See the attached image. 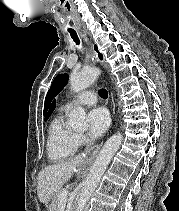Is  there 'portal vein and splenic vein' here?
<instances>
[{
	"label": "portal vein and splenic vein",
	"instance_id": "1",
	"mask_svg": "<svg viewBox=\"0 0 179 211\" xmlns=\"http://www.w3.org/2000/svg\"><path fill=\"white\" fill-rule=\"evenodd\" d=\"M68 195H69L68 190H62L60 194V203H65L67 201Z\"/></svg>",
	"mask_w": 179,
	"mask_h": 211
}]
</instances>
